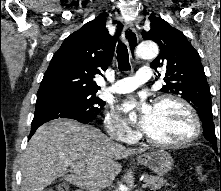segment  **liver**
Here are the masks:
<instances>
[{"label":"liver","mask_w":221,"mask_h":191,"mask_svg":"<svg viewBox=\"0 0 221 191\" xmlns=\"http://www.w3.org/2000/svg\"><path fill=\"white\" fill-rule=\"evenodd\" d=\"M143 151L114 143L92 126L56 119L39 127L29 141L21 167V191H43L59 178L81 188L98 182L106 187L121 171L116 160Z\"/></svg>","instance_id":"6515ba94"}]
</instances>
